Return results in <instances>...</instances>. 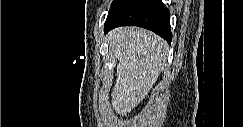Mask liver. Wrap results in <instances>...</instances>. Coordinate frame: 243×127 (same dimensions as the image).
Wrapping results in <instances>:
<instances>
[{
	"instance_id": "liver-1",
	"label": "liver",
	"mask_w": 243,
	"mask_h": 127,
	"mask_svg": "<svg viewBox=\"0 0 243 127\" xmlns=\"http://www.w3.org/2000/svg\"><path fill=\"white\" fill-rule=\"evenodd\" d=\"M108 41L118 60L112 106L124 116L143 101L157 81L166 61L167 44L152 32L136 27L117 28L109 33Z\"/></svg>"
}]
</instances>
